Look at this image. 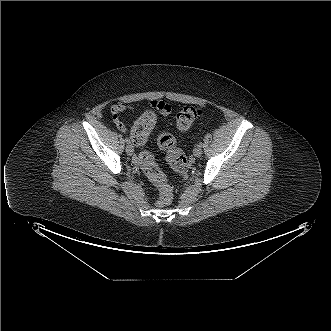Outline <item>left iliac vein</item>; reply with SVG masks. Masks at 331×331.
Here are the masks:
<instances>
[{"label": "left iliac vein", "instance_id": "4c4485c4", "mask_svg": "<svg viewBox=\"0 0 331 331\" xmlns=\"http://www.w3.org/2000/svg\"><path fill=\"white\" fill-rule=\"evenodd\" d=\"M202 154V148L200 146H196L193 150V155L195 157H200Z\"/></svg>", "mask_w": 331, "mask_h": 331}]
</instances>
